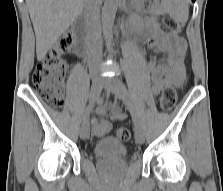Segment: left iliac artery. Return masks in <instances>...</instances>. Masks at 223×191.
Returning a JSON list of instances; mask_svg holds the SVG:
<instances>
[{"label": "left iliac artery", "mask_w": 223, "mask_h": 191, "mask_svg": "<svg viewBox=\"0 0 223 191\" xmlns=\"http://www.w3.org/2000/svg\"><path fill=\"white\" fill-rule=\"evenodd\" d=\"M128 107H129L130 114L132 116L134 126H135V128H137L140 126V120H139V117H138V114L136 111V106H135L134 100H133L132 96H130V95H129Z\"/></svg>", "instance_id": "1"}]
</instances>
